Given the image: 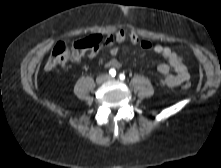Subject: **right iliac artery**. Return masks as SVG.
<instances>
[{
  "label": "right iliac artery",
  "instance_id": "obj_1",
  "mask_svg": "<svg viewBox=\"0 0 221 168\" xmlns=\"http://www.w3.org/2000/svg\"><path fill=\"white\" fill-rule=\"evenodd\" d=\"M109 74H110V76L114 77V76L116 75V70L113 69V68H111V69L109 70Z\"/></svg>",
  "mask_w": 221,
  "mask_h": 168
}]
</instances>
